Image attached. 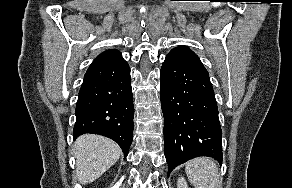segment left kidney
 Masks as SVG:
<instances>
[{
    "instance_id": "obj_1",
    "label": "left kidney",
    "mask_w": 292,
    "mask_h": 188,
    "mask_svg": "<svg viewBox=\"0 0 292 188\" xmlns=\"http://www.w3.org/2000/svg\"><path fill=\"white\" fill-rule=\"evenodd\" d=\"M177 188H188L187 182L184 177H179L177 181Z\"/></svg>"
}]
</instances>
